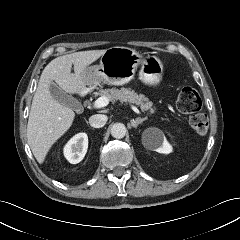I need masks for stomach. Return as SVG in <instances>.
Masks as SVG:
<instances>
[{"instance_id":"obj_1","label":"stomach","mask_w":240,"mask_h":240,"mask_svg":"<svg viewBox=\"0 0 240 240\" xmlns=\"http://www.w3.org/2000/svg\"><path fill=\"white\" fill-rule=\"evenodd\" d=\"M140 64L139 79L149 86L158 85L164 72L163 63L158 57L143 58L134 49L111 47L105 50L99 65L87 68L88 87L93 89L101 83L124 85L134 78Z\"/></svg>"}]
</instances>
